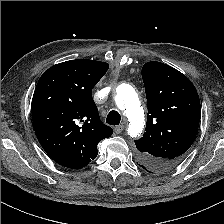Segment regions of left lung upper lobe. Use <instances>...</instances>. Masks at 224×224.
Instances as JSON below:
<instances>
[{"instance_id":"5c2ea615","label":"left lung upper lobe","mask_w":224,"mask_h":224,"mask_svg":"<svg viewBox=\"0 0 224 224\" xmlns=\"http://www.w3.org/2000/svg\"><path fill=\"white\" fill-rule=\"evenodd\" d=\"M142 78L148 115L146 132L135 144L141 164L150 171L165 172L181 162L194 142L200 100L192 82L169 65L147 62Z\"/></svg>"}]
</instances>
